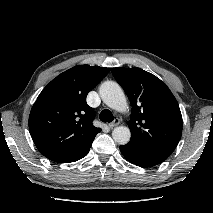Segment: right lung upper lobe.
Listing matches in <instances>:
<instances>
[{
    "mask_svg": "<svg viewBox=\"0 0 213 213\" xmlns=\"http://www.w3.org/2000/svg\"><path fill=\"white\" fill-rule=\"evenodd\" d=\"M109 71L98 66H75L42 90L29 116V131L42 155L74 152L94 140L101 128L92 124L94 111L86 97Z\"/></svg>",
    "mask_w": 213,
    "mask_h": 213,
    "instance_id": "obj_1",
    "label": "right lung upper lobe"
}]
</instances>
